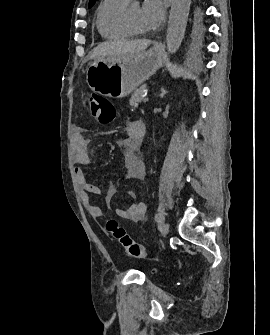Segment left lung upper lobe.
<instances>
[{
    "instance_id": "1",
    "label": "left lung upper lobe",
    "mask_w": 270,
    "mask_h": 335,
    "mask_svg": "<svg viewBox=\"0 0 270 335\" xmlns=\"http://www.w3.org/2000/svg\"><path fill=\"white\" fill-rule=\"evenodd\" d=\"M96 0H90L89 1V8L92 7L94 4H95ZM201 6L199 5V3H196V7H195V14L197 17L200 16V13H201Z\"/></svg>"
}]
</instances>
